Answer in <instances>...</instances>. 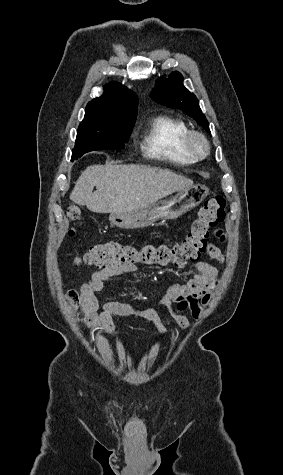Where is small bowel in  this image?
Returning a JSON list of instances; mask_svg holds the SVG:
<instances>
[{
  "label": "small bowel",
  "instance_id": "obj_1",
  "mask_svg": "<svg viewBox=\"0 0 283 475\" xmlns=\"http://www.w3.org/2000/svg\"><path fill=\"white\" fill-rule=\"evenodd\" d=\"M215 228L213 225L210 227ZM218 235V242L225 244L229 235V230L225 224H220L219 229L213 232ZM208 256L220 263L225 261V257L220 248L210 243L207 246ZM138 268L131 264L107 265L95 270L89 281L80 289V302L83 309V322L93 332L102 334H112L116 330L113 321L114 316L137 317L149 321L157 334L164 335L165 329L159 312L153 308L139 309L128 304L117 301H109L103 305L99 304L96 293L100 292L104 283L118 275H136ZM219 271L213 264L201 261L196 263L193 277L186 283L168 284L164 287L161 305L173 310L175 304L179 309H189L195 319L201 317V310L210 301L213 290L218 284ZM189 295L192 304L190 307H183L181 301L184 295ZM178 325L183 333L188 332L189 324L187 320L178 318Z\"/></svg>",
  "mask_w": 283,
  "mask_h": 475
}]
</instances>
